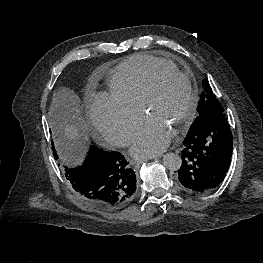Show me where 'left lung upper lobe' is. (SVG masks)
Returning a JSON list of instances; mask_svg holds the SVG:
<instances>
[{
    "label": "left lung upper lobe",
    "mask_w": 263,
    "mask_h": 263,
    "mask_svg": "<svg viewBox=\"0 0 263 263\" xmlns=\"http://www.w3.org/2000/svg\"><path fill=\"white\" fill-rule=\"evenodd\" d=\"M203 91L201 93V98L198 102L197 111L198 116L192 123L188 134H193L198 132L203 124L212 116L223 113V108L219 103L218 99L214 95L210 84L207 79L202 81Z\"/></svg>",
    "instance_id": "1"
}]
</instances>
